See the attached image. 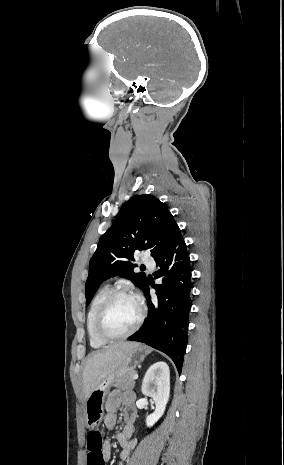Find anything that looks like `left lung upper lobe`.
<instances>
[{
    "label": "left lung upper lobe",
    "mask_w": 284,
    "mask_h": 465,
    "mask_svg": "<svg viewBox=\"0 0 284 465\" xmlns=\"http://www.w3.org/2000/svg\"><path fill=\"white\" fill-rule=\"evenodd\" d=\"M178 225L167 206L152 195H136L119 211L113 225L100 239L89 263L86 305L106 279L122 275L142 288L147 278L134 273L136 251L149 250L153 258L170 243Z\"/></svg>",
    "instance_id": "obj_1"
}]
</instances>
